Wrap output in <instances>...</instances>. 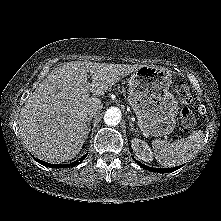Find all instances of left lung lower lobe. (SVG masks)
Returning <instances> with one entry per match:
<instances>
[{
	"label": "left lung lower lobe",
	"instance_id": "left-lung-lower-lobe-1",
	"mask_svg": "<svg viewBox=\"0 0 221 221\" xmlns=\"http://www.w3.org/2000/svg\"><path fill=\"white\" fill-rule=\"evenodd\" d=\"M136 161V160H135ZM136 163L141 166L142 168L146 169V170H150V171H153V172H160V173H168V172H173V171H176L178 170L181 166H177V167H173V168H163V169H159V168H151V167H148V166H145V165H142L140 162L136 161Z\"/></svg>",
	"mask_w": 221,
	"mask_h": 221
}]
</instances>
